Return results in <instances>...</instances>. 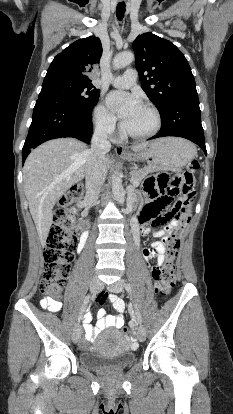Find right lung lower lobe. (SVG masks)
Listing matches in <instances>:
<instances>
[{
    "label": "right lung lower lobe",
    "mask_w": 233,
    "mask_h": 414,
    "mask_svg": "<svg viewBox=\"0 0 233 414\" xmlns=\"http://www.w3.org/2000/svg\"><path fill=\"white\" fill-rule=\"evenodd\" d=\"M91 113L92 110L79 109L53 99H38L22 149L23 162L31 149L50 139L74 137L89 143L93 131Z\"/></svg>",
    "instance_id": "1"
}]
</instances>
